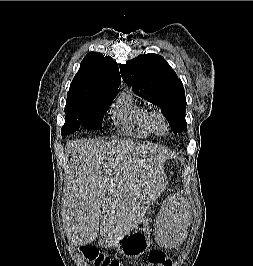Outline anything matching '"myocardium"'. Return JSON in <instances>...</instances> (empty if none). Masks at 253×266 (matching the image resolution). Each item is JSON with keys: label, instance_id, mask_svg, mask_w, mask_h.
I'll return each mask as SVG.
<instances>
[{"label": "myocardium", "instance_id": "myocardium-1", "mask_svg": "<svg viewBox=\"0 0 253 266\" xmlns=\"http://www.w3.org/2000/svg\"><path fill=\"white\" fill-rule=\"evenodd\" d=\"M148 123L151 131L156 135H163L167 131L168 122L165 116L159 111H152L148 114ZM159 123L163 126L162 131L158 129Z\"/></svg>", "mask_w": 253, "mask_h": 266}]
</instances>
